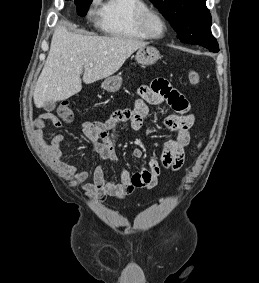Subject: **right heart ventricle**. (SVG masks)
Masks as SVG:
<instances>
[{
	"label": "right heart ventricle",
	"instance_id": "e07e8e85",
	"mask_svg": "<svg viewBox=\"0 0 259 283\" xmlns=\"http://www.w3.org/2000/svg\"><path fill=\"white\" fill-rule=\"evenodd\" d=\"M149 6L145 0H106L100 10L99 27L113 37L146 40L140 16Z\"/></svg>",
	"mask_w": 259,
	"mask_h": 283
}]
</instances>
